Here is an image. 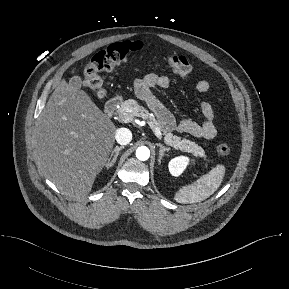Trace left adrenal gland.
<instances>
[{"label":"left adrenal gland","mask_w":289,"mask_h":289,"mask_svg":"<svg viewBox=\"0 0 289 289\" xmlns=\"http://www.w3.org/2000/svg\"><path fill=\"white\" fill-rule=\"evenodd\" d=\"M157 146L160 148V150H159V158H158V162L160 164L163 156L165 155V152H169L170 148L165 147V146H163L160 143H158Z\"/></svg>","instance_id":"1"}]
</instances>
